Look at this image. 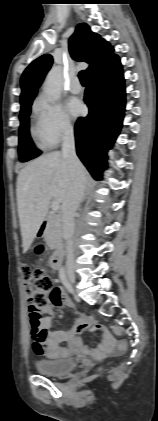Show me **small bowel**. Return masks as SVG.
Listing matches in <instances>:
<instances>
[{
	"label": "small bowel",
	"instance_id": "small-bowel-1",
	"mask_svg": "<svg viewBox=\"0 0 158 421\" xmlns=\"http://www.w3.org/2000/svg\"><path fill=\"white\" fill-rule=\"evenodd\" d=\"M57 309H74V304L61 287H54L50 292L48 303L40 309V313L49 315L51 318L40 319L37 324L31 325L33 338V350L51 359L66 357L71 349L61 346L63 342H69L73 348L81 345V340L77 333L81 329L92 327L93 321L82 312L77 313L75 324L67 331L54 329L52 317ZM113 338L109 333L102 335L95 352L105 354L110 351Z\"/></svg>",
	"mask_w": 158,
	"mask_h": 421
}]
</instances>
